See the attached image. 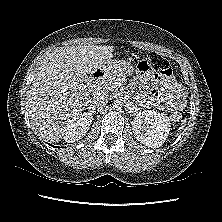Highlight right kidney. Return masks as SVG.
<instances>
[{"instance_id":"obj_1","label":"right kidney","mask_w":222,"mask_h":222,"mask_svg":"<svg viewBox=\"0 0 222 222\" xmlns=\"http://www.w3.org/2000/svg\"><path fill=\"white\" fill-rule=\"evenodd\" d=\"M92 120L93 116L91 113L75 115L64 127V140L68 143H72L81 139L89 130Z\"/></svg>"}]
</instances>
